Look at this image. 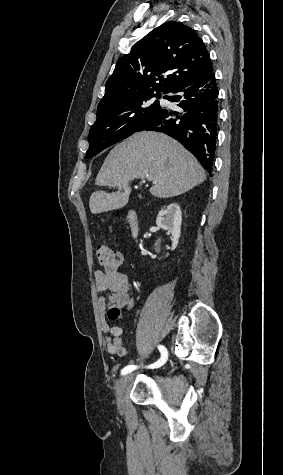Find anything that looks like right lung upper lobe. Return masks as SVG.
I'll list each match as a JSON object with an SVG mask.
<instances>
[{"instance_id":"cb5924a9","label":"right lung upper lobe","mask_w":283,"mask_h":475,"mask_svg":"<svg viewBox=\"0 0 283 475\" xmlns=\"http://www.w3.org/2000/svg\"><path fill=\"white\" fill-rule=\"evenodd\" d=\"M212 70L210 55L194 30L169 21L153 29L117 61L98 107L146 93H167L180 82Z\"/></svg>"}]
</instances>
